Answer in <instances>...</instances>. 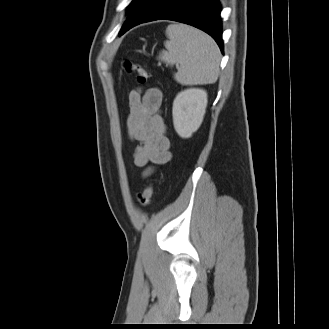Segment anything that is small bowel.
I'll use <instances>...</instances> for the list:
<instances>
[{
    "instance_id": "obj_1",
    "label": "small bowel",
    "mask_w": 329,
    "mask_h": 329,
    "mask_svg": "<svg viewBox=\"0 0 329 329\" xmlns=\"http://www.w3.org/2000/svg\"><path fill=\"white\" fill-rule=\"evenodd\" d=\"M163 95L159 88L144 92L138 88L129 93V115L126 126L129 138L137 142L133 161L137 167L149 162L162 165L172 158L170 141L160 114ZM151 174L147 170L144 175Z\"/></svg>"
}]
</instances>
